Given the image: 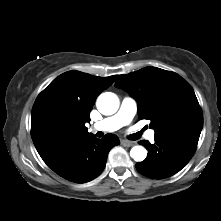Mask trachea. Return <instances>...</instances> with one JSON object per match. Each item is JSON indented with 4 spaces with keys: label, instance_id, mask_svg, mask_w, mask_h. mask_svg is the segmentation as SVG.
Segmentation results:
<instances>
[{
    "label": "trachea",
    "instance_id": "obj_1",
    "mask_svg": "<svg viewBox=\"0 0 221 221\" xmlns=\"http://www.w3.org/2000/svg\"><path fill=\"white\" fill-rule=\"evenodd\" d=\"M140 136H141V134H140V132H139V133L131 134V135L129 136V138H130L131 140H137V139L140 138Z\"/></svg>",
    "mask_w": 221,
    "mask_h": 221
}]
</instances>
